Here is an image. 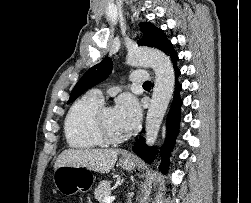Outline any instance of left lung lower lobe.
<instances>
[{
    "instance_id": "left-lung-lower-lobe-1",
    "label": "left lung lower lobe",
    "mask_w": 251,
    "mask_h": 203,
    "mask_svg": "<svg viewBox=\"0 0 251 203\" xmlns=\"http://www.w3.org/2000/svg\"><path fill=\"white\" fill-rule=\"evenodd\" d=\"M163 52L165 54H167L168 56H170L171 61L174 66L175 76H176V83H175L176 87H175L174 98H173L171 109L169 111V114L167 116V121H166L167 138H166L165 144H164V150H163L164 156H163L162 163L160 165V170L163 173H165L166 168L169 163L168 155H169V152L171 151L172 147L175 144V138H176L178 131H179L180 106L182 105V100L180 98V91L182 89V85L177 81V79L180 75V70L178 69V67L176 65V62L178 60V55L175 52L171 42L167 45V47L165 48V50ZM132 149L138 156L143 158L146 162H148V163L152 162L153 156H154L153 148L150 149L149 147H147L145 144V140L143 138L138 140Z\"/></svg>"
}]
</instances>
